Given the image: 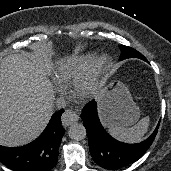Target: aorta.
Here are the masks:
<instances>
[{
  "label": "aorta",
  "instance_id": "aorta-1",
  "mask_svg": "<svg viewBox=\"0 0 171 171\" xmlns=\"http://www.w3.org/2000/svg\"><path fill=\"white\" fill-rule=\"evenodd\" d=\"M68 135L72 140L81 141L87 136L86 128L83 124L74 123L69 127Z\"/></svg>",
  "mask_w": 171,
  "mask_h": 171
}]
</instances>
